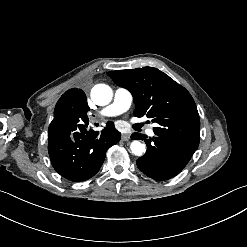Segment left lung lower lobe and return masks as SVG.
I'll list each match as a JSON object with an SVG mask.
<instances>
[{
	"label": "left lung lower lobe",
	"mask_w": 247,
	"mask_h": 247,
	"mask_svg": "<svg viewBox=\"0 0 247 247\" xmlns=\"http://www.w3.org/2000/svg\"><path fill=\"white\" fill-rule=\"evenodd\" d=\"M131 138L145 141L147 152L136 163L145 175L157 181L179 174L197 149L170 137L146 139L143 134L133 133Z\"/></svg>",
	"instance_id": "obj_1"
}]
</instances>
